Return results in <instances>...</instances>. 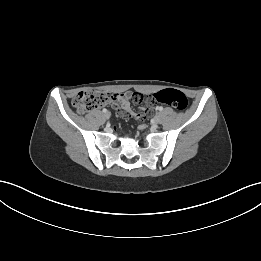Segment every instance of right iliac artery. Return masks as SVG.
Wrapping results in <instances>:
<instances>
[{
  "label": "right iliac artery",
  "mask_w": 261,
  "mask_h": 261,
  "mask_svg": "<svg viewBox=\"0 0 261 261\" xmlns=\"http://www.w3.org/2000/svg\"><path fill=\"white\" fill-rule=\"evenodd\" d=\"M102 111H103L104 113H106V112H107V109L104 108Z\"/></svg>",
  "instance_id": "82829eb1"
}]
</instances>
